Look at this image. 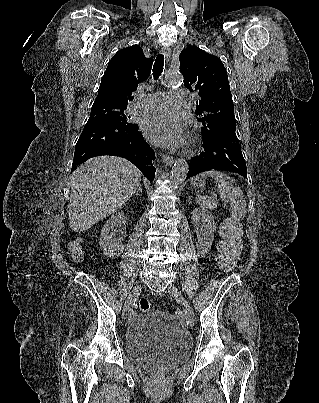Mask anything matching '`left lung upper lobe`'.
<instances>
[{
	"mask_svg": "<svg viewBox=\"0 0 319 403\" xmlns=\"http://www.w3.org/2000/svg\"><path fill=\"white\" fill-rule=\"evenodd\" d=\"M180 71L185 87L200 96L195 113L203 125L202 135L235 126L232 95L222 61L198 47H189L180 54Z\"/></svg>",
	"mask_w": 319,
	"mask_h": 403,
	"instance_id": "left-lung-upper-lobe-1",
	"label": "left lung upper lobe"
}]
</instances>
